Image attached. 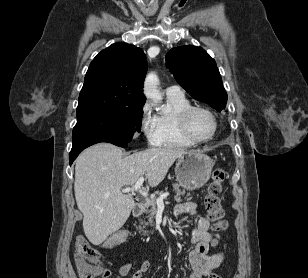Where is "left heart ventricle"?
Here are the masks:
<instances>
[{
	"instance_id": "b2bd125f",
	"label": "left heart ventricle",
	"mask_w": 308,
	"mask_h": 278,
	"mask_svg": "<svg viewBox=\"0 0 308 278\" xmlns=\"http://www.w3.org/2000/svg\"><path fill=\"white\" fill-rule=\"evenodd\" d=\"M190 132L197 138L204 139L211 135L213 131V121L204 111L195 110L188 118Z\"/></svg>"
}]
</instances>
